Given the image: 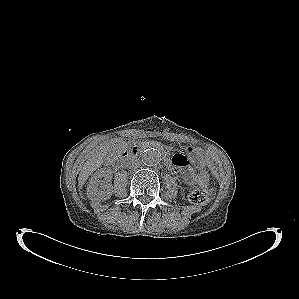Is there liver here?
Here are the masks:
<instances>
[{
    "label": "liver",
    "instance_id": "liver-1",
    "mask_svg": "<svg viewBox=\"0 0 299 299\" xmlns=\"http://www.w3.org/2000/svg\"><path fill=\"white\" fill-rule=\"evenodd\" d=\"M109 148V143L103 144L98 151H96L92 157L85 162L78 177V185L80 188L85 184L89 176L103 164Z\"/></svg>",
    "mask_w": 299,
    "mask_h": 299
}]
</instances>
